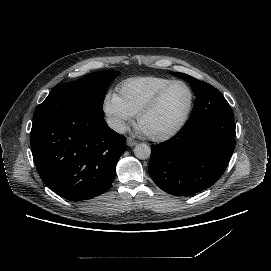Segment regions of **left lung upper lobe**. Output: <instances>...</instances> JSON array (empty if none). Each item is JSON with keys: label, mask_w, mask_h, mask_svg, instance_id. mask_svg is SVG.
Listing matches in <instances>:
<instances>
[{"label": "left lung upper lobe", "mask_w": 271, "mask_h": 271, "mask_svg": "<svg viewBox=\"0 0 271 271\" xmlns=\"http://www.w3.org/2000/svg\"><path fill=\"white\" fill-rule=\"evenodd\" d=\"M191 83L196 96L195 105L189 120L202 116H229L234 117L233 111L223 95L212 85L184 73H172Z\"/></svg>", "instance_id": "1"}]
</instances>
